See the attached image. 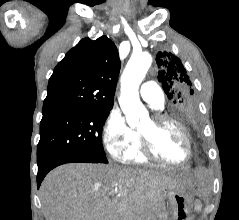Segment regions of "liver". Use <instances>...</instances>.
I'll return each instance as SVG.
<instances>
[{
    "instance_id": "1",
    "label": "liver",
    "mask_w": 239,
    "mask_h": 220,
    "mask_svg": "<svg viewBox=\"0 0 239 220\" xmlns=\"http://www.w3.org/2000/svg\"><path fill=\"white\" fill-rule=\"evenodd\" d=\"M185 184L180 176L154 171L72 163L45 177L40 198L45 220H157L164 191Z\"/></svg>"
}]
</instances>
